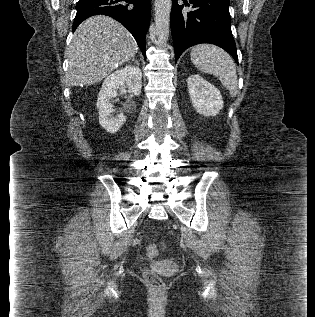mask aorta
Returning a JSON list of instances; mask_svg holds the SVG:
<instances>
[{
    "label": "aorta",
    "instance_id": "762f6f07",
    "mask_svg": "<svg viewBox=\"0 0 315 317\" xmlns=\"http://www.w3.org/2000/svg\"><path fill=\"white\" fill-rule=\"evenodd\" d=\"M171 7L172 0H155V30L161 45L166 44L169 37Z\"/></svg>",
    "mask_w": 315,
    "mask_h": 317
}]
</instances>
